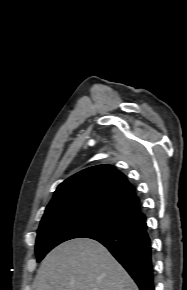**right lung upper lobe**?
<instances>
[{
	"mask_svg": "<svg viewBox=\"0 0 187 290\" xmlns=\"http://www.w3.org/2000/svg\"><path fill=\"white\" fill-rule=\"evenodd\" d=\"M81 206L108 208L131 224L145 218L139 199L126 177L111 165L87 168L62 182L46 207L45 215Z\"/></svg>",
	"mask_w": 187,
	"mask_h": 290,
	"instance_id": "1",
	"label": "right lung upper lobe"
}]
</instances>
